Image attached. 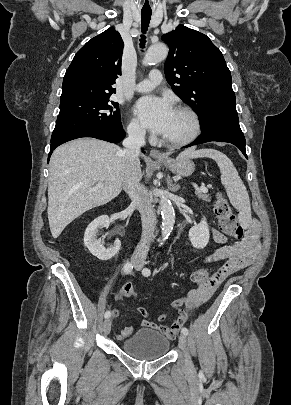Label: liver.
<instances>
[{"instance_id":"1","label":"liver","mask_w":291,"mask_h":405,"mask_svg":"<svg viewBox=\"0 0 291 405\" xmlns=\"http://www.w3.org/2000/svg\"><path fill=\"white\" fill-rule=\"evenodd\" d=\"M123 178L124 157L115 144L81 138L58 147L50 159L48 180L47 213L53 238L84 212L117 197ZM100 182L103 186L97 188Z\"/></svg>"}]
</instances>
